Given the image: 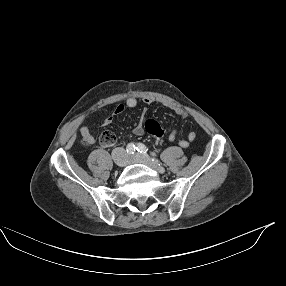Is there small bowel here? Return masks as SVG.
<instances>
[{"instance_id":"c3829d8e","label":"small bowel","mask_w":286,"mask_h":286,"mask_svg":"<svg viewBox=\"0 0 286 286\" xmlns=\"http://www.w3.org/2000/svg\"><path fill=\"white\" fill-rule=\"evenodd\" d=\"M143 102L147 105L152 104L153 103V99L152 98H145L143 100ZM138 105V100L135 97H129L127 98L126 102L124 104H119L117 105V107L115 108L114 112L108 116L103 124L104 125H109L113 122L114 118L120 114H122L124 112V110L126 108L128 109H134L136 108ZM173 111L182 119L186 118L188 116V113L180 108V107H172ZM80 133L81 136L83 137V139L88 143V144H94L95 143V138L94 136L91 134L89 128L87 126H82L80 128ZM133 133L136 136H142L145 133V120L144 117H141V119L139 120V122L135 125L134 129H133ZM178 134V129L174 128L173 130L170 131V133L168 134V140L173 142L175 141L176 137ZM196 139V133L194 131H191L188 133L187 138L186 139H181L179 140L178 144L181 148H187L189 147L190 143L193 142Z\"/></svg>"}]
</instances>
